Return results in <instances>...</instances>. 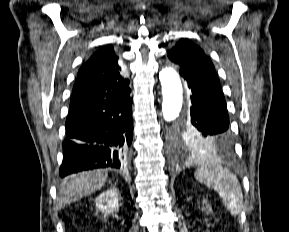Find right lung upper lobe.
Masks as SVG:
<instances>
[{"mask_svg": "<svg viewBox=\"0 0 289 232\" xmlns=\"http://www.w3.org/2000/svg\"><path fill=\"white\" fill-rule=\"evenodd\" d=\"M129 90V80L118 64L113 47H102L79 69L70 109L113 99Z\"/></svg>", "mask_w": 289, "mask_h": 232, "instance_id": "right-lung-upper-lobe-1", "label": "right lung upper lobe"}]
</instances>
